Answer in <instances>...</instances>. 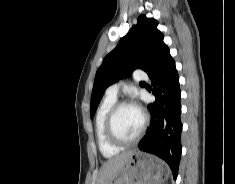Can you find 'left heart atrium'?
<instances>
[{
  "label": "left heart atrium",
  "instance_id": "obj_1",
  "mask_svg": "<svg viewBox=\"0 0 235 184\" xmlns=\"http://www.w3.org/2000/svg\"><path fill=\"white\" fill-rule=\"evenodd\" d=\"M133 107L140 113H142L141 107L138 104H134Z\"/></svg>",
  "mask_w": 235,
  "mask_h": 184
}]
</instances>
